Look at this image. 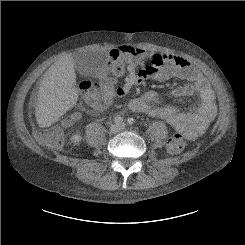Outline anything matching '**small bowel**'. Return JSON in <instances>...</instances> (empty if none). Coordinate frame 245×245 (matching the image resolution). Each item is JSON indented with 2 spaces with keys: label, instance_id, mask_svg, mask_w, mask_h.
I'll list each match as a JSON object with an SVG mask.
<instances>
[{
  "label": "small bowel",
  "instance_id": "obj_1",
  "mask_svg": "<svg viewBox=\"0 0 245 245\" xmlns=\"http://www.w3.org/2000/svg\"><path fill=\"white\" fill-rule=\"evenodd\" d=\"M119 49H112V59L120 56ZM159 62H163L160 65ZM67 77H71V70L67 71ZM99 75L110 76L113 84V92L104 94L100 92H83V99L89 114L103 112L115 97H125L129 91L144 84L149 80L167 81L172 78L187 80L189 83L171 90L170 95L175 100L198 95L200 105L191 111H180L173 105L161 102L154 92H145L128 102L130 110L137 113H145L150 116L164 119L172 128L183 133L188 138H193L203 133L213 121L216 114L214 92L205 77L182 56L172 53H160L152 50H141L138 60H125L124 69L118 71L111 66L103 68ZM123 76L124 82L117 84V80Z\"/></svg>",
  "mask_w": 245,
  "mask_h": 245
}]
</instances>
